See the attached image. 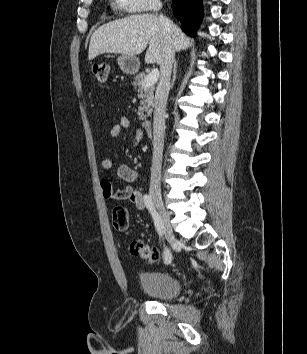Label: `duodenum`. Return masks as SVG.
<instances>
[{
    "label": "duodenum",
    "instance_id": "410a0bca",
    "mask_svg": "<svg viewBox=\"0 0 307 354\" xmlns=\"http://www.w3.org/2000/svg\"><path fill=\"white\" fill-rule=\"evenodd\" d=\"M142 127H143V129L145 130V132L148 134V135H150V136H152V133H153V125H152V121L151 120H144L143 122H142Z\"/></svg>",
    "mask_w": 307,
    "mask_h": 354
}]
</instances>
